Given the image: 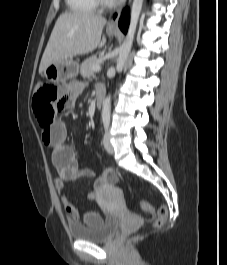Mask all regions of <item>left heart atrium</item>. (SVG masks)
Here are the masks:
<instances>
[{"label":"left heart atrium","instance_id":"left-heart-atrium-1","mask_svg":"<svg viewBox=\"0 0 227 265\" xmlns=\"http://www.w3.org/2000/svg\"><path fill=\"white\" fill-rule=\"evenodd\" d=\"M110 1H119V0H110Z\"/></svg>","mask_w":227,"mask_h":265}]
</instances>
